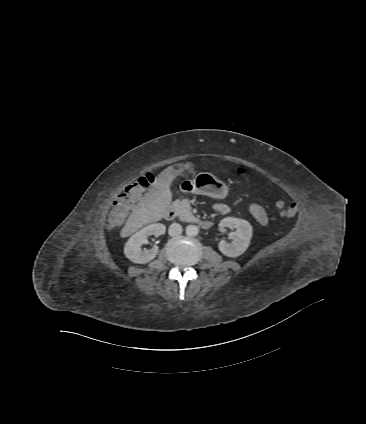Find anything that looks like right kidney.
Returning a JSON list of instances; mask_svg holds the SVG:
<instances>
[{
    "mask_svg": "<svg viewBox=\"0 0 366 424\" xmlns=\"http://www.w3.org/2000/svg\"><path fill=\"white\" fill-rule=\"evenodd\" d=\"M165 229V225L154 223L133 234L124 246L125 256L130 261L139 264H146L152 261L158 254V246L154 245L149 250H142L141 246L147 243L148 236L154 235L158 237L165 233Z\"/></svg>",
    "mask_w": 366,
    "mask_h": 424,
    "instance_id": "obj_1",
    "label": "right kidney"
}]
</instances>
